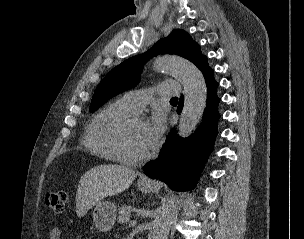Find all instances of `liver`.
Masks as SVG:
<instances>
[{
    "label": "liver",
    "instance_id": "obj_1",
    "mask_svg": "<svg viewBox=\"0 0 304 239\" xmlns=\"http://www.w3.org/2000/svg\"><path fill=\"white\" fill-rule=\"evenodd\" d=\"M136 176L137 172L122 165H101L88 170L81 177L77 188V216L83 217L104 198L125 191Z\"/></svg>",
    "mask_w": 304,
    "mask_h": 239
}]
</instances>
